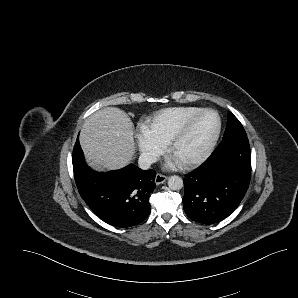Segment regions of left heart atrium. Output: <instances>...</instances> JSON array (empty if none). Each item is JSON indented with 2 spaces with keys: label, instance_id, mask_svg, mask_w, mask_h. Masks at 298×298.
Returning <instances> with one entry per match:
<instances>
[{
  "label": "left heart atrium",
  "instance_id": "obj_1",
  "mask_svg": "<svg viewBox=\"0 0 298 298\" xmlns=\"http://www.w3.org/2000/svg\"><path fill=\"white\" fill-rule=\"evenodd\" d=\"M182 164H183L182 162L171 158L170 160H168L165 163V167H167V168H175L177 166H181Z\"/></svg>",
  "mask_w": 298,
  "mask_h": 298
}]
</instances>
